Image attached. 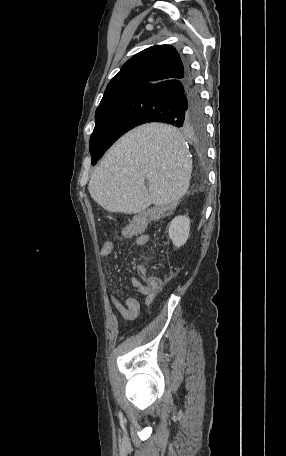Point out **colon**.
<instances>
[{
  "label": "colon",
  "instance_id": "5ec220e1",
  "mask_svg": "<svg viewBox=\"0 0 286 456\" xmlns=\"http://www.w3.org/2000/svg\"><path fill=\"white\" fill-rule=\"evenodd\" d=\"M150 219V215L148 216H140L135 218L125 229L124 233L127 235H134L137 233L142 232L148 221ZM135 280L138 284H143L151 291H158L162 287V279L157 276L148 275L146 269L143 267H139L136 271Z\"/></svg>",
  "mask_w": 286,
  "mask_h": 456
}]
</instances>
